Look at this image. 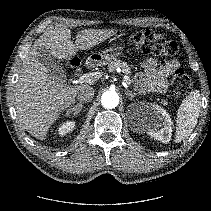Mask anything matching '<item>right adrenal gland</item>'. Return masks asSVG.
Returning <instances> with one entry per match:
<instances>
[{
	"label": "right adrenal gland",
	"mask_w": 211,
	"mask_h": 211,
	"mask_svg": "<svg viewBox=\"0 0 211 211\" xmlns=\"http://www.w3.org/2000/svg\"><path fill=\"white\" fill-rule=\"evenodd\" d=\"M83 108V103H78L74 107L67 109L66 115L69 116L70 113L73 115H78V113L82 110Z\"/></svg>",
	"instance_id": "2a0ac1e0"
}]
</instances>
